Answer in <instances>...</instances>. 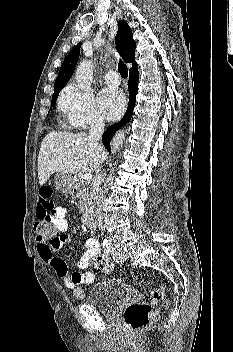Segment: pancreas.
I'll list each match as a JSON object with an SVG mask.
<instances>
[{"label":"pancreas","instance_id":"obj_1","mask_svg":"<svg viewBox=\"0 0 233 352\" xmlns=\"http://www.w3.org/2000/svg\"><path fill=\"white\" fill-rule=\"evenodd\" d=\"M76 198L78 201V209L81 213H84L88 206L91 204L92 192L91 188L87 187L83 180H77L75 183Z\"/></svg>","mask_w":233,"mask_h":352}]
</instances>
